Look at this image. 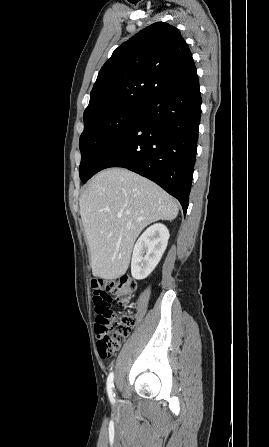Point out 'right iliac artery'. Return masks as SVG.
I'll list each match as a JSON object with an SVG mask.
<instances>
[{"mask_svg": "<svg viewBox=\"0 0 269 447\" xmlns=\"http://www.w3.org/2000/svg\"><path fill=\"white\" fill-rule=\"evenodd\" d=\"M113 380H114V374L113 372H111L107 378V391H108V396L110 398V401L112 403H115V393L113 392V388H114V384H113Z\"/></svg>", "mask_w": 269, "mask_h": 447, "instance_id": "obj_1", "label": "right iliac artery"}]
</instances>
